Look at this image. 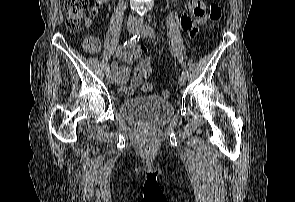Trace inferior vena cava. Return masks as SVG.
<instances>
[{"label":"inferior vena cava","instance_id":"602c4592","mask_svg":"<svg viewBox=\"0 0 295 202\" xmlns=\"http://www.w3.org/2000/svg\"><path fill=\"white\" fill-rule=\"evenodd\" d=\"M130 19H136L135 15L132 13V15H130Z\"/></svg>","mask_w":295,"mask_h":202}]
</instances>
